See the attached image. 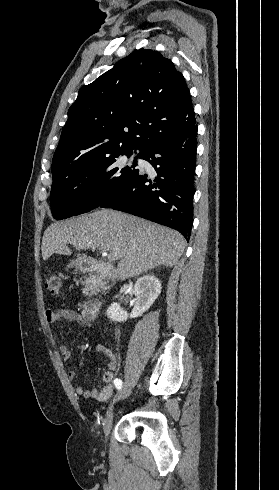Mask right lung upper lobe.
<instances>
[{"label":"right lung upper lobe","mask_w":279,"mask_h":490,"mask_svg":"<svg viewBox=\"0 0 279 490\" xmlns=\"http://www.w3.org/2000/svg\"><path fill=\"white\" fill-rule=\"evenodd\" d=\"M196 125L189 90L170 59L133 51L91 84L68 111L52 161L53 178L110 151L142 155Z\"/></svg>","instance_id":"cb5924a9"}]
</instances>
